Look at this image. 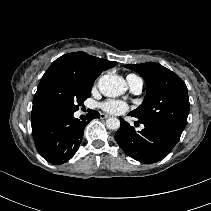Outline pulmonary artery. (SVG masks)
<instances>
[{"label": "pulmonary artery", "instance_id": "1", "mask_svg": "<svg viewBox=\"0 0 211 211\" xmlns=\"http://www.w3.org/2000/svg\"><path fill=\"white\" fill-rule=\"evenodd\" d=\"M128 83L130 85L131 90L134 93H140L143 87V81L142 79L136 77V78H127Z\"/></svg>", "mask_w": 211, "mask_h": 211}]
</instances>
